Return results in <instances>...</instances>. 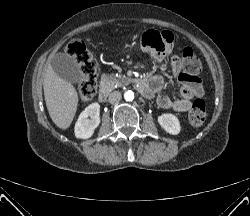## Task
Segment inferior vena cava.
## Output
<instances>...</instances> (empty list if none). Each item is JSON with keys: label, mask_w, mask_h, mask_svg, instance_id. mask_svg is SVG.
<instances>
[{"label": "inferior vena cava", "mask_w": 250, "mask_h": 216, "mask_svg": "<svg viewBox=\"0 0 250 216\" xmlns=\"http://www.w3.org/2000/svg\"><path fill=\"white\" fill-rule=\"evenodd\" d=\"M122 98V95L119 91H114L109 95V102L111 104H117Z\"/></svg>", "instance_id": "inferior-vena-cava-1"}]
</instances>
